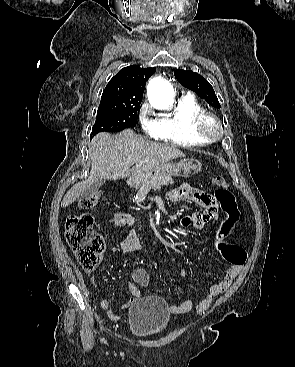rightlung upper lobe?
Listing matches in <instances>:
<instances>
[{
	"mask_svg": "<svg viewBox=\"0 0 295 367\" xmlns=\"http://www.w3.org/2000/svg\"><path fill=\"white\" fill-rule=\"evenodd\" d=\"M155 73V68H141L131 65L122 68L107 84L102 100L142 101L147 80Z\"/></svg>",
	"mask_w": 295,
	"mask_h": 367,
	"instance_id": "right-lung-upper-lobe-1",
	"label": "right lung upper lobe"
}]
</instances>
